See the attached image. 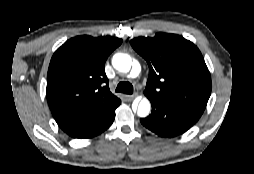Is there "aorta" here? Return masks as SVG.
Masks as SVG:
<instances>
[{"mask_svg": "<svg viewBox=\"0 0 254 174\" xmlns=\"http://www.w3.org/2000/svg\"><path fill=\"white\" fill-rule=\"evenodd\" d=\"M113 67L122 73H128L131 70V76L136 77L141 71V65L138 61L132 62L130 56L127 54L119 53L115 54L112 59ZM132 67V69H131ZM151 104L147 98H143L137 109V115L139 117H147L150 113Z\"/></svg>", "mask_w": 254, "mask_h": 174, "instance_id": "1", "label": "aorta"}]
</instances>
